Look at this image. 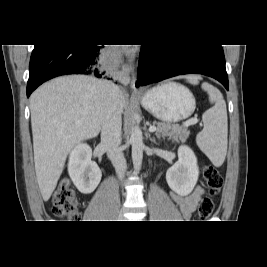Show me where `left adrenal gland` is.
Instances as JSON below:
<instances>
[{"mask_svg":"<svg viewBox=\"0 0 267 267\" xmlns=\"http://www.w3.org/2000/svg\"><path fill=\"white\" fill-rule=\"evenodd\" d=\"M147 138H149L151 142L157 143L154 137L153 138L150 137V134L147 136Z\"/></svg>","mask_w":267,"mask_h":267,"instance_id":"a2214340","label":"left adrenal gland"}]
</instances>
